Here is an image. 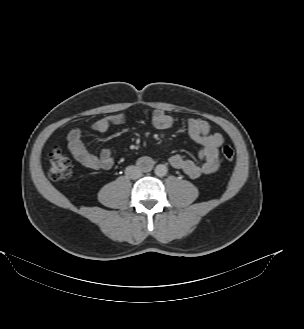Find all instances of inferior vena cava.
Listing matches in <instances>:
<instances>
[{
	"mask_svg": "<svg viewBox=\"0 0 304 329\" xmlns=\"http://www.w3.org/2000/svg\"><path fill=\"white\" fill-rule=\"evenodd\" d=\"M125 174L130 179H138L142 176V171L137 166H128L125 170Z\"/></svg>",
	"mask_w": 304,
	"mask_h": 329,
	"instance_id": "1",
	"label": "inferior vena cava"
}]
</instances>
